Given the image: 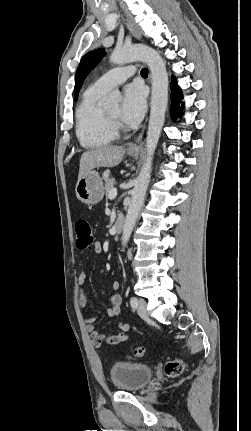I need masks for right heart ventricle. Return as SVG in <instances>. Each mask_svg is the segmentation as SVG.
Wrapping results in <instances>:
<instances>
[{"mask_svg": "<svg viewBox=\"0 0 251 431\" xmlns=\"http://www.w3.org/2000/svg\"><path fill=\"white\" fill-rule=\"evenodd\" d=\"M106 92L88 87L77 106L76 135L85 148H99L111 144L117 137L108 125L99 101Z\"/></svg>", "mask_w": 251, "mask_h": 431, "instance_id": "right-heart-ventricle-1", "label": "right heart ventricle"}]
</instances>
